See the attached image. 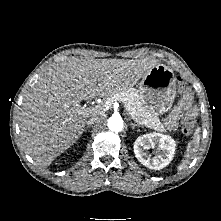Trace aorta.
<instances>
[{
    "instance_id": "1",
    "label": "aorta",
    "mask_w": 221,
    "mask_h": 221,
    "mask_svg": "<svg viewBox=\"0 0 221 221\" xmlns=\"http://www.w3.org/2000/svg\"><path fill=\"white\" fill-rule=\"evenodd\" d=\"M108 128L113 132H120L124 127L123 119L120 115H112L107 121Z\"/></svg>"
}]
</instances>
